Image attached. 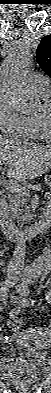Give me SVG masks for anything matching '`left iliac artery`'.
Instances as JSON below:
<instances>
[{
	"mask_svg": "<svg viewBox=\"0 0 51 393\" xmlns=\"http://www.w3.org/2000/svg\"><path fill=\"white\" fill-rule=\"evenodd\" d=\"M37 277H38V275L36 273H29L24 278H22V282H21V288H22L21 294L22 295L29 294L28 286L34 280H36ZM46 299H47V302L50 304L51 303V291L47 292Z\"/></svg>",
	"mask_w": 51,
	"mask_h": 393,
	"instance_id": "1",
	"label": "left iliac artery"
}]
</instances>
